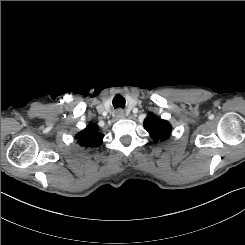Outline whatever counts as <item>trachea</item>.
<instances>
[{
  "instance_id": "1",
  "label": "trachea",
  "mask_w": 245,
  "mask_h": 245,
  "mask_svg": "<svg viewBox=\"0 0 245 245\" xmlns=\"http://www.w3.org/2000/svg\"><path fill=\"white\" fill-rule=\"evenodd\" d=\"M125 98L121 95H117L114 99H113V106L114 108H124L125 106Z\"/></svg>"
}]
</instances>
